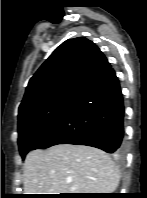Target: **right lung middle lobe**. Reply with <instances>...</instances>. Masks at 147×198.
<instances>
[{
    "label": "right lung middle lobe",
    "instance_id": "dd1d6c3e",
    "mask_svg": "<svg viewBox=\"0 0 147 198\" xmlns=\"http://www.w3.org/2000/svg\"><path fill=\"white\" fill-rule=\"evenodd\" d=\"M75 101L60 100L38 106L18 119V145L22 158L33 149L58 121L72 108Z\"/></svg>",
    "mask_w": 147,
    "mask_h": 198
}]
</instances>
